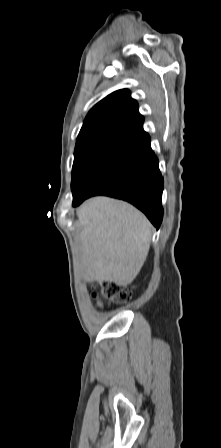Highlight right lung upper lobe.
Returning a JSON list of instances; mask_svg holds the SVG:
<instances>
[{
  "label": "right lung upper lobe",
  "mask_w": 221,
  "mask_h": 448,
  "mask_svg": "<svg viewBox=\"0 0 221 448\" xmlns=\"http://www.w3.org/2000/svg\"><path fill=\"white\" fill-rule=\"evenodd\" d=\"M144 118L130 91H115L88 113L77 137L75 149L92 145L117 146L143 129Z\"/></svg>",
  "instance_id": "1"
}]
</instances>
